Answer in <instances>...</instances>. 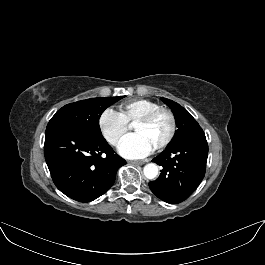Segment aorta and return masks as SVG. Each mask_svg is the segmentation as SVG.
Wrapping results in <instances>:
<instances>
[{
  "mask_svg": "<svg viewBox=\"0 0 265 265\" xmlns=\"http://www.w3.org/2000/svg\"><path fill=\"white\" fill-rule=\"evenodd\" d=\"M144 176L147 179H154L158 175V166L154 163H150L144 166Z\"/></svg>",
  "mask_w": 265,
  "mask_h": 265,
  "instance_id": "obj_1",
  "label": "aorta"
}]
</instances>
